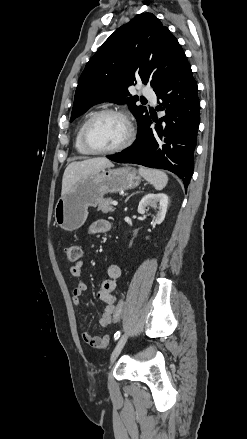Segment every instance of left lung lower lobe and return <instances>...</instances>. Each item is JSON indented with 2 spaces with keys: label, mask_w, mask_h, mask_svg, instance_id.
Masks as SVG:
<instances>
[{
  "label": "left lung lower lobe",
  "mask_w": 247,
  "mask_h": 439,
  "mask_svg": "<svg viewBox=\"0 0 247 439\" xmlns=\"http://www.w3.org/2000/svg\"><path fill=\"white\" fill-rule=\"evenodd\" d=\"M197 83L187 59L176 73L155 91L166 115L160 121L148 115L138 127L137 140L126 150L108 156L118 163H135L166 169L180 177L187 188L193 174L200 103ZM152 119L156 122L152 129Z\"/></svg>",
  "instance_id": "left-lung-lower-lobe-1"
}]
</instances>
